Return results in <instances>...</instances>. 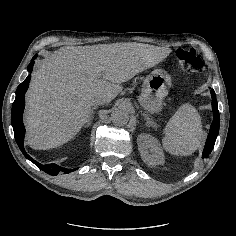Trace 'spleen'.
<instances>
[{"instance_id": "1", "label": "spleen", "mask_w": 236, "mask_h": 236, "mask_svg": "<svg viewBox=\"0 0 236 236\" xmlns=\"http://www.w3.org/2000/svg\"><path fill=\"white\" fill-rule=\"evenodd\" d=\"M204 135L197 111L185 104L167 122L162 143L172 154L188 155L200 146Z\"/></svg>"}]
</instances>
